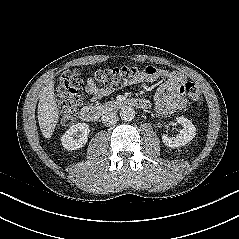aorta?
I'll return each instance as SVG.
<instances>
[{
	"label": "aorta",
	"instance_id": "1",
	"mask_svg": "<svg viewBox=\"0 0 239 239\" xmlns=\"http://www.w3.org/2000/svg\"><path fill=\"white\" fill-rule=\"evenodd\" d=\"M135 115V109L131 106H124L120 110V117L124 121H132Z\"/></svg>",
	"mask_w": 239,
	"mask_h": 239
}]
</instances>
